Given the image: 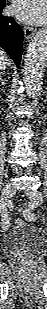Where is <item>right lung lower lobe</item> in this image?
Listing matches in <instances>:
<instances>
[{"instance_id": "right-lung-lower-lobe-1", "label": "right lung lower lobe", "mask_w": 47, "mask_h": 309, "mask_svg": "<svg viewBox=\"0 0 47 309\" xmlns=\"http://www.w3.org/2000/svg\"><path fill=\"white\" fill-rule=\"evenodd\" d=\"M5 0H0V47L3 48L17 67L22 54L23 30L12 17L1 15Z\"/></svg>"}]
</instances>
